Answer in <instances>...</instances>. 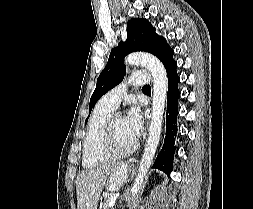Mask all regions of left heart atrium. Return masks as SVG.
<instances>
[{
    "label": "left heart atrium",
    "instance_id": "39dd6f15",
    "mask_svg": "<svg viewBox=\"0 0 253 209\" xmlns=\"http://www.w3.org/2000/svg\"><path fill=\"white\" fill-rule=\"evenodd\" d=\"M126 128L131 138L136 141L143 130V117L140 108L133 104L125 117Z\"/></svg>",
    "mask_w": 253,
    "mask_h": 209
}]
</instances>
